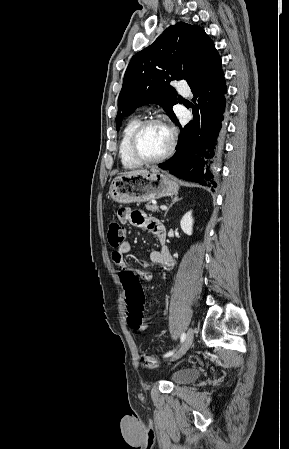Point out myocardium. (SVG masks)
Returning <instances> with one entry per match:
<instances>
[{
    "label": "myocardium",
    "mask_w": 289,
    "mask_h": 449,
    "mask_svg": "<svg viewBox=\"0 0 289 449\" xmlns=\"http://www.w3.org/2000/svg\"><path fill=\"white\" fill-rule=\"evenodd\" d=\"M152 124H160L163 127H165L166 130L169 132L170 142H169V146H168L167 150L161 156L153 158V159H148V158L143 157L140 154L139 149H138V141H139V137H140L141 133L143 132V130L147 126L152 125ZM176 144H177V133H176L175 128L171 125V123L164 116H161V115L151 116L149 118H146V119L140 121V123L137 125V127L133 131L131 139H130L131 154L134 157V159L137 160L141 164H154V163H159V162L166 160L173 154Z\"/></svg>",
    "instance_id": "f54148a6"
}]
</instances>
